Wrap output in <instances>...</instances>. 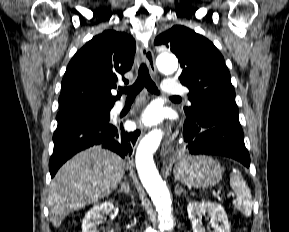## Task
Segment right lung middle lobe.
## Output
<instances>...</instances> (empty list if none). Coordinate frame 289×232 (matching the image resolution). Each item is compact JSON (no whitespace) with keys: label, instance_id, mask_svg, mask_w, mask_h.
Instances as JSON below:
<instances>
[{"label":"right lung middle lobe","instance_id":"dd1d6c3e","mask_svg":"<svg viewBox=\"0 0 289 232\" xmlns=\"http://www.w3.org/2000/svg\"><path fill=\"white\" fill-rule=\"evenodd\" d=\"M111 107L88 106L60 110L56 120L58 122L73 120H109Z\"/></svg>","mask_w":289,"mask_h":232}]
</instances>
